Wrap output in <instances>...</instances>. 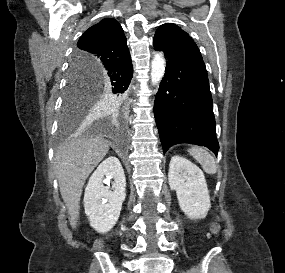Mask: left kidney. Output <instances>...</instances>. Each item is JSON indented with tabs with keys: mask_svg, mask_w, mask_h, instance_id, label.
Returning <instances> with one entry per match:
<instances>
[{
	"mask_svg": "<svg viewBox=\"0 0 285 273\" xmlns=\"http://www.w3.org/2000/svg\"><path fill=\"white\" fill-rule=\"evenodd\" d=\"M168 180L170 188L176 191L181 210L190 218H205L210 208V196L200 168L186 158L173 156Z\"/></svg>",
	"mask_w": 285,
	"mask_h": 273,
	"instance_id": "obj_1",
	"label": "left kidney"
}]
</instances>
